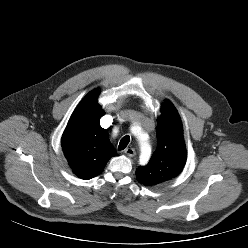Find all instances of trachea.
<instances>
[{
    "label": "trachea",
    "mask_w": 248,
    "mask_h": 248,
    "mask_svg": "<svg viewBox=\"0 0 248 248\" xmlns=\"http://www.w3.org/2000/svg\"><path fill=\"white\" fill-rule=\"evenodd\" d=\"M129 142H130V137L128 135L124 136L120 140V143H119V146H118L119 151L125 149L127 147V145L129 144Z\"/></svg>",
    "instance_id": "trachea-1"
}]
</instances>
